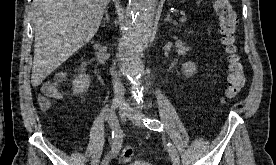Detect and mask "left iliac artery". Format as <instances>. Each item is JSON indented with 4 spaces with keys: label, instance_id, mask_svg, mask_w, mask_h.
I'll return each instance as SVG.
<instances>
[{
    "label": "left iliac artery",
    "instance_id": "left-iliac-artery-1",
    "mask_svg": "<svg viewBox=\"0 0 276 165\" xmlns=\"http://www.w3.org/2000/svg\"><path fill=\"white\" fill-rule=\"evenodd\" d=\"M143 122H144V125L147 128H149L150 130L159 131V132L163 130V124L160 121H158L157 119H148L147 118V119H144ZM167 147H168V151H169V154H170L172 160H179L178 152L175 149V147L173 146V144L168 142Z\"/></svg>",
    "mask_w": 276,
    "mask_h": 165
}]
</instances>
